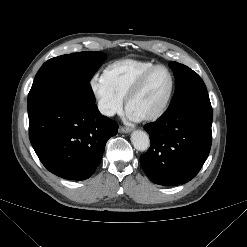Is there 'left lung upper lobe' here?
Here are the masks:
<instances>
[{
    "mask_svg": "<svg viewBox=\"0 0 247 247\" xmlns=\"http://www.w3.org/2000/svg\"><path fill=\"white\" fill-rule=\"evenodd\" d=\"M175 76V93L168 109L191 101L209 99L207 89L200 76L187 66L170 62Z\"/></svg>",
    "mask_w": 247,
    "mask_h": 247,
    "instance_id": "1",
    "label": "left lung upper lobe"
}]
</instances>
